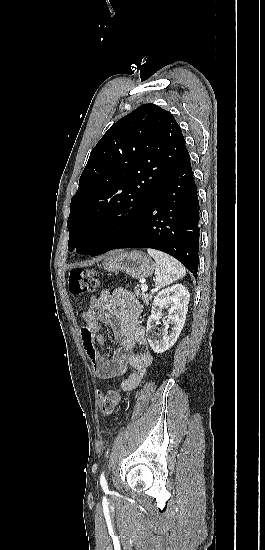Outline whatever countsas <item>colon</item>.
<instances>
[{"instance_id": "1", "label": "colon", "mask_w": 265, "mask_h": 550, "mask_svg": "<svg viewBox=\"0 0 265 550\" xmlns=\"http://www.w3.org/2000/svg\"><path fill=\"white\" fill-rule=\"evenodd\" d=\"M99 286L100 281L96 272L92 269L77 268L70 272L69 288L74 295L95 292ZM121 402L122 394L116 388L106 390L98 395V406L106 416L112 415ZM106 432L107 428L104 427L103 433Z\"/></svg>"}]
</instances>
